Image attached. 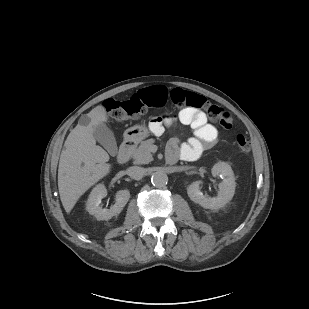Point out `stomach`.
<instances>
[{
	"mask_svg": "<svg viewBox=\"0 0 309 309\" xmlns=\"http://www.w3.org/2000/svg\"><path fill=\"white\" fill-rule=\"evenodd\" d=\"M148 136L149 130L147 129V127L142 125L132 126L124 132V138L128 141L140 142Z\"/></svg>",
	"mask_w": 309,
	"mask_h": 309,
	"instance_id": "stomach-1",
	"label": "stomach"
}]
</instances>
